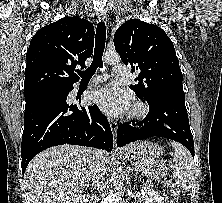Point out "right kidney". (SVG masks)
<instances>
[{"mask_svg":"<svg viewBox=\"0 0 222 203\" xmlns=\"http://www.w3.org/2000/svg\"><path fill=\"white\" fill-rule=\"evenodd\" d=\"M88 196L86 197V195H81L75 198H72L68 203H84V201L88 200Z\"/></svg>","mask_w":222,"mask_h":203,"instance_id":"right-kidney-1","label":"right kidney"}]
</instances>
